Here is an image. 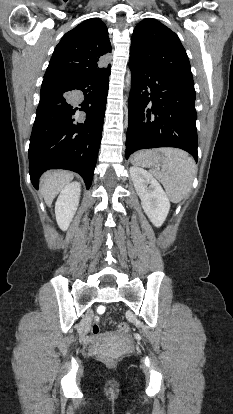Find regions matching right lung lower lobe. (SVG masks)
I'll return each mask as SVG.
<instances>
[{
    "mask_svg": "<svg viewBox=\"0 0 233 414\" xmlns=\"http://www.w3.org/2000/svg\"><path fill=\"white\" fill-rule=\"evenodd\" d=\"M110 69L72 80L45 77L29 145V173L38 188L47 169L79 173L90 187L101 142Z\"/></svg>",
    "mask_w": 233,
    "mask_h": 414,
    "instance_id": "right-lung-lower-lobe-1",
    "label": "right lung lower lobe"
}]
</instances>
